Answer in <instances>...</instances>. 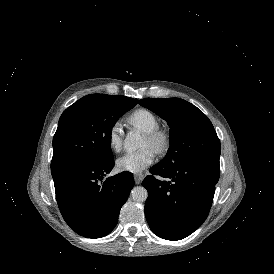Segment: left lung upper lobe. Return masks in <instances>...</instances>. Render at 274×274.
<instances>
[{"label":"left lung upper lobe","mask_w":274,"mask_h":274,"mask_svg":"<svg viewBox=\"0 0 274 274\" xmlns=\"http://www.w3.org/2000/svg\"><path fill=\"white\" fill-rule=\"evenodd\" d=\"M139 104L170 126V147L160 164L174 167L199 160L219 163V138L208 117L196 106L179 98H145Z\"/></svg>","instance_id":"left-lung-upper-lobe-1"}]
</instances>
